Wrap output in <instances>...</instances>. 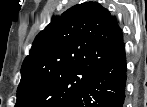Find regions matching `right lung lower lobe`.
Instances as JSON below:
<instances>
[{
	"mask_svg": "<svg viewBox=\"0 0 147 107\" xmlns=\"http://www.w3.org/2000/svg\"><path fill=\"white\" fill-rule=\"evenodd\" d=\"M127 79L123 44L75 95L60 107H123Z\"/></svg>",
	"mask_w": 147,
	"mask_h": 107,
	"instance_id": "98d812e1",
	"label": "right lung lower lobe"
}]
</instances>
